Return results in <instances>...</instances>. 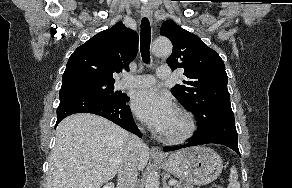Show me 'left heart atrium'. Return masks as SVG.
<instances>
[{
	"instance_id": "1",
	"label": "left heart atrium",
	"mask_w": 292,
	"mask_h": 188,
	"mask_svg": "<svg viewBox=\"0 0 292 188\" xmlns=\"http://www.w3.org/2000/svg\"><path fill=\"white\" fill-rule=\"evenodd\" d=\"M137 117L160 133H166L177 111L170 98L155 89L138 91L132 99Z\"/></svg>"
}]
</instances>
